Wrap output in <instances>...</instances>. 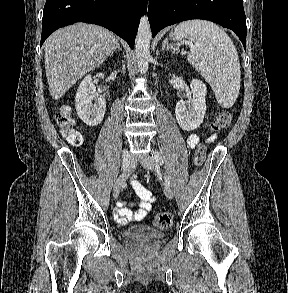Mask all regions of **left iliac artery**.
Listing matches in <instances>:
<instances>
[{
    "label": "left iliac artery",
    "mask_w": 288,
    "mask_h": 293,
    "mask_svg": "<svg viewBox=\"0 0 288 293\" xmlns=\"http://www.w3.org/2000/svg\"><path fill=\"white\" fill-rule=\"evenodd\" d=\"M152 157L156 163L163 165V163H164L163 158L158 151H154L152 154ZM164 184H165V186L170 187V181L166 175L164 176Z\"/></svg>",
    "instance_id": "left-iliac-artery-1"
}]
</instances>
